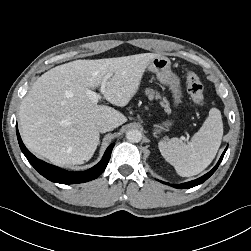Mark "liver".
<instances>
[{"label": "liver", "instance_id": "1", "mask_svg": "<svg viewBox=\"0 0 251 251\" xmlns=\"http://www.w3.org/2000/svg\"><path fill=\"white\" fill-rule=\"evenodd\" d=\"M159 56L142 53L97 60H76L41 75L20 105L19 123L27 148L58 166L83 164L98 144L97 121L116 127L127 121L112 107L93 103L86 94L101 86L104 98L126 106L139 89L149 63Z\"/></svg>", "mask_w": 251, "mask_h": 251}]
</instances>
